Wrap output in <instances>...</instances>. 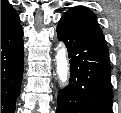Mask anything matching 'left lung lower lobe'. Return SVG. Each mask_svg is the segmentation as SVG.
Masks as SVG:
<instances>
[{
    "instance_id": "1",
    "label": "left lung lower lobe",
    "mask_w": 121,
    "mask_h": 113,
    "mask_svg": "<svg viewBox=\"0 0 121 113\" xmlns=\"http://www.w3.org/2000/svg\"><path fill=\"white\" fill-rule=\"evenodd\" d=\"M57 35L70 58L69 85L60 91L56 113H112L109 52L95 34L62 17Z\"/></svg>"
}]
</instances>
